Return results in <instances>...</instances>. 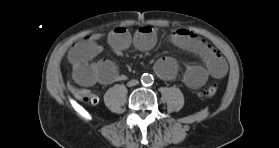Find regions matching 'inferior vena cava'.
<instances>
[{"label": "inferior vena cava", "instance_id": "obj_1", "mask_svg": "<svg viewBox=\"0 0 279 148\" xmlns=\"http://www.w3.org/2000/svg\"><path fill=\"white\" fill-rule=\"evenodd\" d=\"M138 83H139L138 80L133 79V80H130V81L127 83V85H128L129 87H131V86L137 85Z\"/></svg>", "mask_w": 279, "mask_h": 148}]
</instances>
